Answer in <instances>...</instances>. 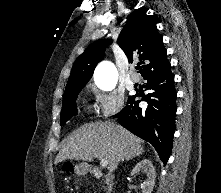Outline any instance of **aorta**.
<instances>
[{"label":"aorta","mask_w":221,"mask_h":193,"mask_svg":"<svg viewBox=\"0 0 221 193\" xmlns=\"http://www.w3.org/2000/svg\"><path fill=\"white\" fill-rule=\"evenodd\" d=\"M117 80V71L111 62H103L96 69L97 85L103 90L114 88Z\"/></svg>","instance_id":"obj_1"}]
</instances>
